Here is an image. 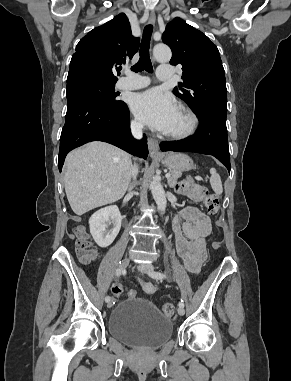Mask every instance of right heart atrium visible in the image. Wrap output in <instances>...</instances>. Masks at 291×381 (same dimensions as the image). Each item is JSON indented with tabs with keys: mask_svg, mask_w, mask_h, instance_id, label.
<instances>
[{
	"mask_svg": "<svg viewBox=\"0 0 291 381\" xmlns=\"http://www.w3.org/2000/svg\"><path fill=\"white\" fill-rule=\"evenodd\" d=\"M131 126H132L134 129H136V130H139V129L142 128L141 123H140L138 120H136V119H133V120L131 121Z\"/></svg>",
	"mask_w": 291,
	"mask_h": 381,
	"instance_id": "right-heart-atrium-1",
	"label": "right heart atrium"
}]
</instances>
